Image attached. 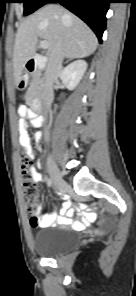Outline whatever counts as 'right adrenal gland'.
<instances>
[{
    "instance_id": "obj_1",
    "label": "right adrenal gland",
    "mask_w": 136,
    "mask_h": 296,
    "mask_svg": "<svg viewBox=\"0 0 136 296\" xmlns=\"http://www.w3.org/2000/svg\"><path fill=\"white\" fill-rule=\"evenodd\" d=\"M70 60H72V58H71V59H69V60H67V61H66V63H67V62H69Z\"/></svg>"
}]
</instances>
